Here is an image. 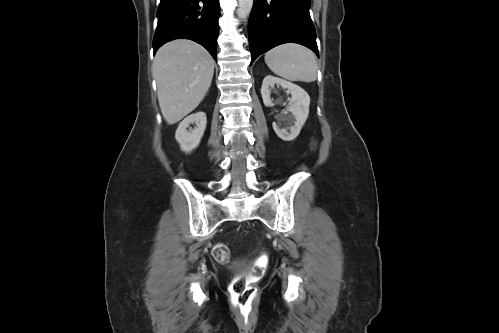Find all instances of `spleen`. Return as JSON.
<instances>
[{"label":"spleen","instance_id":"spleen-1","mask_svg":"<svg viewBox=\"0 0 499 333\" xmlns=\"http://www.w3.org/2000/svg\"><path fill=\"white\" fill-rule=\"evenodd\" d=\"M264 59L269 69L284 79L303 82L317 79L315 54L304 46L283 44L268 51Z\"/></svg>","mask_w":499,"mask_h":333}]
</instances>
